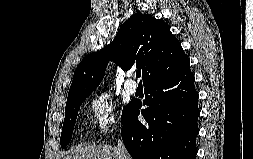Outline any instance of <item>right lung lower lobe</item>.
I'll use <instances>...</instances> for the list:
<instances>
[{"label": "right lung lower lobe", "mask_w": 253, "mask_h": 159, "mask_svg": "<svg viewBox=\"0 0 253 159\" xmlns=\"http://www.w3.org/2000/svg\"><path fill=\"white\" fill-rule=\"evenodd\" d=\"M194 80L188 64L144 84L143 104L149 107L141 114L146 123L138 121L142 103L135 101L121 121L123 142L134 159H195L200 111Z\"/></svg>", "instance_id": "1"}]
</instances>
